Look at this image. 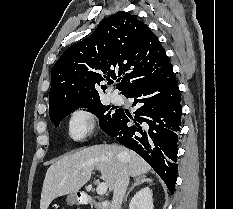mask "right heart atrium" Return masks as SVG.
<instances>
[{"mask_svg":"<svg viewBox=\"0 0 233 209\" xmlns=\"http://www.w3.org/2000/svg\"><path fill=\"white\" fill-rule=\"evenodd\" d=\"M95 127L92 111L86 107L75 109L69 119L68 133L74 141H81L91 135Z\"/></svg>","mask_w":233,"mask_h":209,"instance_id":"obj_1","label":"right heart atrium"}]
</instances>
